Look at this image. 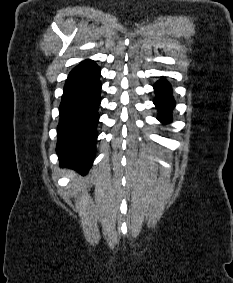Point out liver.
Wrapping results in <instances>:
<instances>
[{"label": "liver", "instance_id": "1", "mask_svg": "<svg viewBox=\"0 0 233 283\" xmlns=\"http://www.w3.org/2000/svg\"><path fill=\"white\" fill-rule=\"evenodd\" d=\"M69 175H70L71 177H74V176H75V174H74L73 172H70Z\"/></svg>", "mask_w": 233, "mask_h": 283}]
</instances>
